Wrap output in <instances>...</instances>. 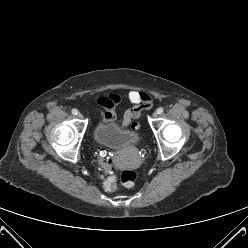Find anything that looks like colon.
I'll use <instances>...</instances> for the list:
<instances>
[{
  "mask_svg": "<svg viewBox=\"0 0 248 248\" xmlns=\"http://www.w3.org/2000/svg\"><path fill=\"white\" fill-rule=\"evenodd\" d=\"M99 162L105 173H112L113 161L106 154L105 151H99ZM138 178V174L135 170L127 169L121 174V184L125 187H132ZM103 188L107 192H113L117 188V181L115 176L108 177L103 183Z\"/></svg>",
  "mask_w": 248,
  "mask_h": 248,
  "instance_id": "5ec220e1",
  "label": "colon"
}]
</instances>
